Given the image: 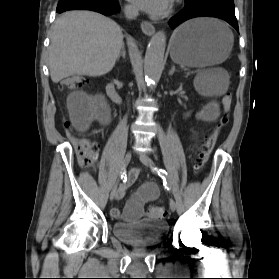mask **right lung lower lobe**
I'll return each mask as SVG.
<instances>
[{
    "mask_svg": "<svg viewBox=\"0 0 279 279\" xmlns=\"http://www.w3.org/2000/svg\"><path fill=\"white\" fill-rule=\"evenodd\" d=\"M74 9L92 10L110 16L119 10V3L117 0H59L56 11L62 13Z\"/></svg>",
    "mask_w": 279,
    "mask_h": 279,
    "instance_id": "obj_1",
    "label": "right lung lower lobe"
}]
</instances>
